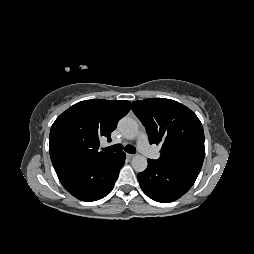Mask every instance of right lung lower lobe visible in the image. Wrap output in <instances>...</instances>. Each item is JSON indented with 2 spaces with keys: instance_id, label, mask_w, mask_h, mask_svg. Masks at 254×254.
I'll list each match as a JSON object with an SVG mask.
<instances>
[{
  "instance_id": "1",
  "label": "right lung lower lobe",
  "mask_w": 254,
  "mask_h": 254,
  "mask_svg": "<svg viewBox=\"0 0 254 254\" xmlns=\"http://www.w3.org/2000/svg\"><path fill=\"white\" fill-rule=\"evenodd\" d=\"M125 153L118 152L99 159H71L54 164L64 188L82 201H96L105 197L124 165Z\"/></svg>"
}]
</instances>
